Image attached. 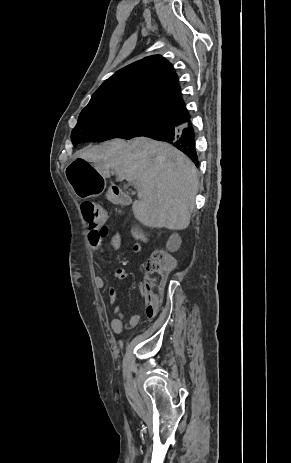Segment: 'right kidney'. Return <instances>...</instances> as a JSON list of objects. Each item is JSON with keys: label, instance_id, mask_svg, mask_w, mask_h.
<instances>
[{"label": "right kidney", "instance_id": "ca27d5eb", "mask_svg": "<svg viewBox=\"0 0 291 463\" xmlns=\"http://www.w3.org/2000/svg\"><path fill=\"white\" fill-rule=\"evenodd\" d=\"M181 242V238L178 236V234H173L170 236L166 247L169 251H175L180 247Z\"/></svg>", "mask_w": 291, "mask_h": 463}]
</instances>
